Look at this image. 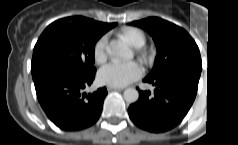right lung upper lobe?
I'll return each instance as SVG.
<instances>
[{
  "instance_id": "cb5924a9",
  "label": "right lung upper lobe",
  "mask_w": 238,
  "mask_h": 145,
  "mask_svg": "<svg viewBox=\"0 0 238 145\" xmlns=\"http://www.w3.org/2000/svg\"><path fill=\"white\" fill-rule=\"evenodd\" d=\"M90 20H92V19H90ZM92 21L95 24V26L98 29H100L101 31H103L104 33H106L108 30L112 29L113 27H115L117 25V23H102V22H97L94 20H92Z\"/></svg>"
}]
</instances>
